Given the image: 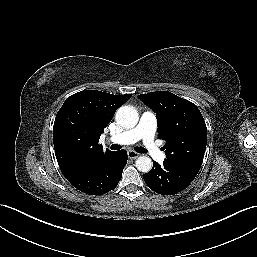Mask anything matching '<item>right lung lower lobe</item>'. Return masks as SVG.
Listing matches in <instances>:
<instances>
[{
	"mask_svg": "<svg viewBox=\"0 0 257 257\" xmlns=\"http://www.w3.org/2000/svg\"><path fill=\"white\" fill-rule=\"evenodd\" d=\"M127 159L125 150L115 151L80 172L64 176L78 190L90 195H102L118 185Z\"/></svg>",
	"mask_w": 257,
	"mask_h": 257,
	"instance_id": "right-lung-lower-lobe-1",
	"label": "right lung lower lobe"
}]
</instances>
